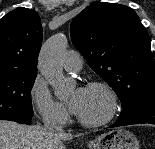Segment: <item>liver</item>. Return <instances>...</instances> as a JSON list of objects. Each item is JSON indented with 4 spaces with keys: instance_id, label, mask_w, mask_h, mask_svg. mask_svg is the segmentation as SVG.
<instances>
[{
    "instance_id": "6515ba94",
    "label": "liver",
    "mask_w": 155,
    "mask_h": 149,
    "mask_svg": "<svg viewBox=\"0 0 155 149\" xmlns=\"http://www.w3.org/2000/svg\"><path fill=\"white\" fill-rule=\"evenodd\" d=\"M72 137L64 132L50 135L41 126H25L0 120V149H65L63 141Z\"/></svg>"
}]
</instances>
